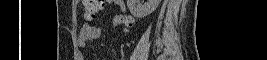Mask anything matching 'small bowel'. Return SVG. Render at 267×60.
Masks as SVG:
<instances>
[{"mask_svg":"<svg viewBox=\"0 0 267 60\" xmlns=\"http://www.w3.org/2000/svg\"><path fill=\"white\" fill-rule=\"evenodd\" d=\"M107 3H115L121 13L113 18L112 24L114 26H122L125 32H129L130 28L134 25V18L126 13V5L122 0H109ZM101 36V28L89 23H85L78 35V42L85 44L89 41L95 40Z\"/></svg>","mask_w":267,"mask_h":60,"instance_id":"c3829d8e","label":"small bowel"}]
</instances>
